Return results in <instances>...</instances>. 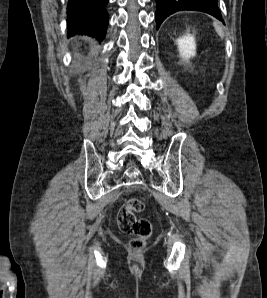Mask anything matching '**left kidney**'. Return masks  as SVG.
<instances>
[{
	"mask_svg": "<svg viewBox=\"0 0 267 298\" xmlns=\"http://www.w3.org/2000/svg\"><path fill=\"white\" fill-rule=\"evenodd\" d=\"M180 57L184 61H188L191 57L196 54V44L194 36L187 31L184 36L176 40Z\"/></svg>",
	"mask_w": 267,
	"mask_h": 298,
	"instance_id": "5707ae66",
	"label": "left kidney"
}]
</instances>
